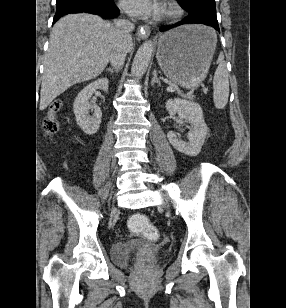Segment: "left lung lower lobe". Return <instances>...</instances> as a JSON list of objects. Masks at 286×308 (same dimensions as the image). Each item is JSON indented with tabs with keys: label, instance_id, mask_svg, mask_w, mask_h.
I'll use <instances>...</instances> for the list:
<instances>
[{
	"label": "left lung lower lobe",
	"instance_id": "left-lung-lower-lobe-1",
	"mask_svg": "<svg viewBox=\"0 0 286 308\" xmlns=\"http://www.w3.org/2000/svg\"><path fill=\"white\" fill-rule=\"evenodd\" d=\"M180 6L189 12L188 17L183 20L169 26L161 27L160 31H167L171 28L183 25V24H205L212 26L216 30H219L218 21L216 17V6L212 2H196L191 5H184L179 2Z\"/></svg>",
	"mask_w": 286,
	"mask_h": 308
}]
</instances>
